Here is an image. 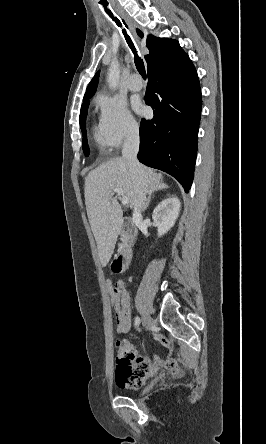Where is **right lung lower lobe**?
Returning a JSON list of instances; mask_svg holds the SVG:
<instances>
[{
  "label": "right lung lower lobe",
  "instance_id": "right-lung-lower-lobe-1",
  "mask_svg": "<svg viewBox=\"0 0 266 444\" xmlns=\"http://www.w3.org/2000/svg\"><path fill=\"white\" fill-rule=\"evenodd\" d=\"M144 99L154 109V117L141 120L137 158L172 175L188 192L194 176L202 100L197 72L187 54L148 70Z\"/></svg>",
  "mask_w": 266,
  "mask_h": 444
}]
</instances>
